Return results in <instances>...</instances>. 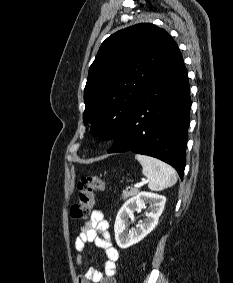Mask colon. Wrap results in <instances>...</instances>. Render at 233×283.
<instances>
[{"instance_id": "obj_1", "label": "colon", "mask_w": 233, "mask_h": 283, "mask_svg": "<svg viewBox=\"0 0 233 283\" xmlns=\"http://www.w3.org/2000/svg\"><path fill=\"white\" fill-rule=\"evenodd\" d=\"M77 189L78 202L73 204L70 210L74 219L89 215L95 202V191H104L106 184L97 176H82L77 184Z\"/></svg>"}]
</instances>
